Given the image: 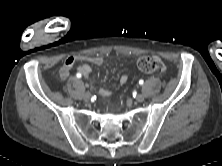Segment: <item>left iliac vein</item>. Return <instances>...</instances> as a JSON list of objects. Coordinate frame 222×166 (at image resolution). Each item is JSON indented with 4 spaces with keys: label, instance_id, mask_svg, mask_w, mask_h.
Listing matches in <instances>:
<instances>
[{
    "label": "left iliac vein",
    "instance_id": "obj_1",
    "mask_svg": "<svg viewBox=\"0 0 222 166\" xmlns=\"http://www.w3.org/2000/svg\"><path fill=\"white\" fill-rule=\"evenodd\" d=\"M135 99H136L137 102H143L144 101V95L143 94H138Z\"/></svg>",
    "mask_w": 222,
    "mask_h": 166
}]
</instances>
